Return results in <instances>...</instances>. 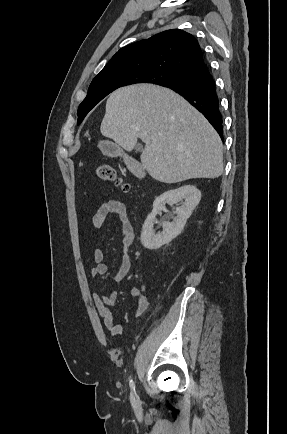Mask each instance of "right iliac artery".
<instances>
[{
	"label": "right iliac artery",
	"instance_id": "1",
	"mask_svg": "<svg viewBox=\"0 0 287 434\" xmlns=\"http://www.w3.org/2000/svg\"><path fill=\"white\" fill-rule=\"evenodd\" d=\"M129 385H130L132 391L135 393V385H134V381H133V380H130ZM133 392L131 393V396H132V397H133Z\"/></svg>",
	"mask_w": 287,
	"mask_h": 434
}]
</instances>
